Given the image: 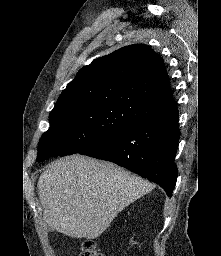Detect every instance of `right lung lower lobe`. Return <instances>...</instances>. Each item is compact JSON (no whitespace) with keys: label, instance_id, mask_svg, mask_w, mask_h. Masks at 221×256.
<instances>
[{"label":"right lung lower lobe","instance_id":"obj_1","mask_svg":"<svg viewBox=\"0 0 221 256\" xmlns=\"http://www.w3.org/2000/svg\"><path fill=\"white\" fill-rule=\"evenodd\" d=\"M177 108L120 128L79 154L111 161L159 184L171 197L177 180Z\"/></svg>","mask_w":221,"mask_h":256}]
</instances>
